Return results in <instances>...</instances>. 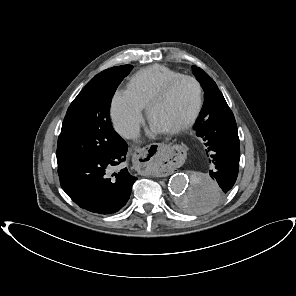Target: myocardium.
Returning a JSON list of instances; mask_svg holds the SVG:
<instances>
[{"mask_svg":"<svg viewBox=\"0 0 296 296\" xmlns=\"http://www.w3.org/2000/svg\"><path fill=\"white\" fill-rule=\"evenodd\" d=\"M183 81H190L195 85V87L197 89V103H196V106H195L192 114L190 115V117L185 122L180 124L179 126L173 128L170 131H167L166 132L167 135H176L181 132H184L187 129H189L190 127H192L195 124V122L197 121V119L202 111L203 104H204V89H203V86L200 83V81L198 79H196L195 77L188 76V75L179 76V77L173 79L172 81H170L157 95H155L150 100V102L148 103V105L146 107L147 118L151 122V114H152L153 109L157 105L164 102L169 97V95L172 93V91L175 89V87Z\"/></svg>","mask_w":296,"mask_h":296,"instance_id":"myocardium-1","label":"myocardium"}]
</instances>
